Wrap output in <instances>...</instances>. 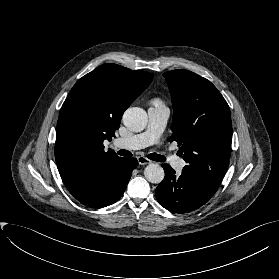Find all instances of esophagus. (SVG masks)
I'll return each mask as SVG.
<instances>
[{"label":"esophagus","instance_id":"obj_1","mask_svg":"<svg viewBox=\"0 0 279 279\" xmlns=\"http://www.w3.org/2000/svg\"><path fill=\"white\" fill-rule=\"evenodd\" d=\"M137 160H138V163L140 164V165H147V164H150L151 163V161L149 160V159H147V158H145V157H138L137 158Z\"/></svg>","mask_w":279,"mask_h":279}]
</instances>
